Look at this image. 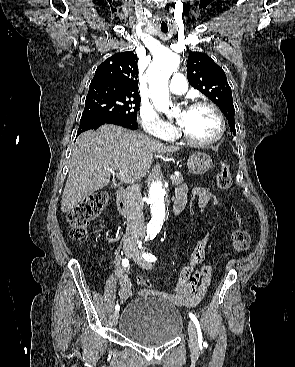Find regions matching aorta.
<instances>
[{
    "mask_svg": "<svg viewBox=\"0 0 295 367\" xmlns=\"http://www.w3.org/2000/svg\"><path fill=\"white\" fill-rule=\"evenodd\" d=\"M179 65V55L165 51L153 59L147 70L154 106L167 115H173L177 111L175 108H170L168 81ZM148 196L152 217L147 224L145 238L146 240H151L160 232L166 216V191L160 180L152 181Z\"/></svg>",
    "mask_w": 295,
    "mask_h": 367,
    "instance_id": "aorta-1",
    "label": "aorta"
}]
</instances>
